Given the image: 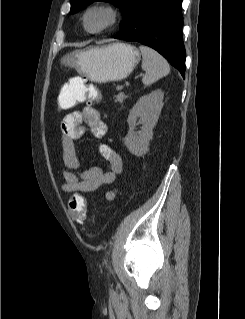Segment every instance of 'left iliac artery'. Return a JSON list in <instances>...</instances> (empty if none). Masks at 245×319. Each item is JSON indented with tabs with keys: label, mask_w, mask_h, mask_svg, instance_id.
<instances>
[{
	"label": "left iliac artery",
	"mask_w": 245,
	"mask_h": 319,
	"mask_svg": "<svg viewBox=\"0 0 245 319\" xmlns=\"http://www.w3.org/2000/svg\"><path fill=\"white\" fill-rule=\"evenodd\" d=\"M105 264H106V266L108 265V258L105 260Z\"/></svg>",
	"instance_id": "1"
}]
</instances>
